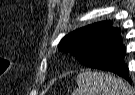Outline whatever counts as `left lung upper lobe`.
<instances>
[{"label":"left lung upper lobe","instance_id":"1","mask_svg":"<svg viewBox=\"0 0 135 95\" xmlns=\"http://www.w3.org/2000/svg\"><path fill=\"white\" fill-rule=\"evenodd\" d=\"M117 32L119 29L112 28L110 21L93 23L66 35L58 48L60 51L70 52L77 57L79 63L84 64L103 39Z\"/></svg>","mask_w":135,"mask_h":95}]
</instances>
